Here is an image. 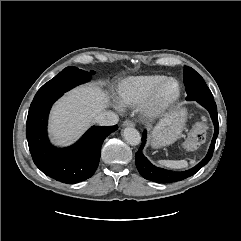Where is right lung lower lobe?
<instances>
[{
    "mask_svg": "<svg viewBox=\"0 0 241 241\" xmlns=\"http://www.w3.org/2000/svg\"><path fill=\"white\" fill-rule=\"evenodd\" d=\"M60 96L33 100L27 117L26 137L33 161L45 175L64 183H78L94 174L102 143L118 126H93L71 147L55 148L47 136V120L52 104Z\"/></svg>",
    "mask_w": 241,
    "mask_h": 241,
    "instance_id": "right-lung-lower-lobe-1",
    "label": "right lung lower lobe"
}]
</instances>
